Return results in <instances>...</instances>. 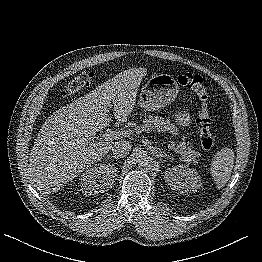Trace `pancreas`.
<instances>
[{"instance_id":"cf45deb5","label":"pancreas","mask_w":262,"mask_h":262,"mask_svg":"<svg viewBox=\"0 0 262 262\" xmlns=\"http://www.w3.org/2000/svg\"><path fill=\"white\" fill-rule=\"evenodd\" d=\"M141 127L146 132L154 131L158 133H177L175 125L173 123H170V120L158 116H148L143 120ZM178 150L184 152L185 157L189 160L188 162L193 164L197 163L195 159L197 156V152L193 151L190 147L185 146L184 142L178 145Z\"/></svg>"}]
</instances>
